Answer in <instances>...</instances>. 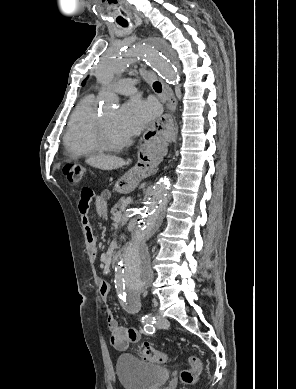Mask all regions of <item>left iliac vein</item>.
<instances>
[{
    "instance_id": "4c4485c4",
    "label": "left iliac vein",
    "mask_w": 296,
    "mask_h": 389,
    "mask_svg": "<svg viewBox=\"0 0 296 389\" xmlns=\"http://www.w3.org/2000/svg\"><path fill=\"white\" fill-rule=\"evenodd\" d=\"M168 325L169 322L166 318H164L161 314L156 315V326L158 328H166Z\"/></svg>"
}]
</instances>
